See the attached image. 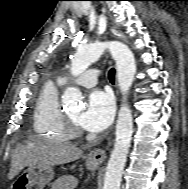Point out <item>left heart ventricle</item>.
I'll list each match as a JSON object with an SVG mask.
<instances>
[{
	"mask_svg": "<svg viewBox=\"0 0 188 189\" xmlns=\"http://www.w3.org/2000/svg\"><path fill=\"white\" fill-rule=\"evenodd\" d=\"M67 114H68L74 121L77 122V119H78V117H79V115H80V110L69 111Z\"/></svg>",
	"mask_w": 188,
	"mask_h": 189,
	"instance_id": "left-heart-ventricle-1",
	"label": "left heart ventricle"
}]
</instances>
